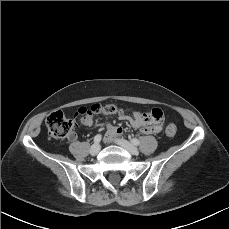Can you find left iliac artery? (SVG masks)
Masks as SVG:
<instances>
[{
    "label": "left iliac artery",
    "instance_id": "44dca946",
    "mask_svg": "<svg viewBox=\"0 0 229 229\" xmlns=\"http://www.w3.org/2000/svg\"><path fill=\"white\" fill-rule=\"evenodd\" d=\"M131 142H132V144H134V145H136V146H138V145L140 144V141H139L138 139H136V138H133V139L131 140Z\"/></svg>",
    "mask_w": 229,
    "mask_h": 229
}]
</instances>
